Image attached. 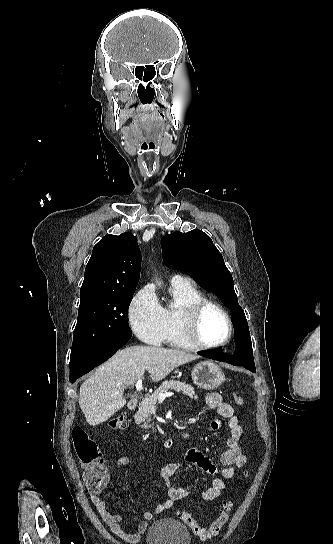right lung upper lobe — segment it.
<instances>
[{
  "mask_svg": "<svg viewBox=\"0 0 333 544\" xmlns=\"http://www.w3.org/2000/svg\"><path fill=\"white\" fill-rule=\"evenodd\" d=\"M141 253L129 232L106 235L93 248L81 286L80 304L111 292H130L140 278Z\"/></svg>",
  "mask_w": 333,
  "mask_h": 544,
  "instance_id": "1",
  "label": "right lung upper lobe"
}]
</instances>
